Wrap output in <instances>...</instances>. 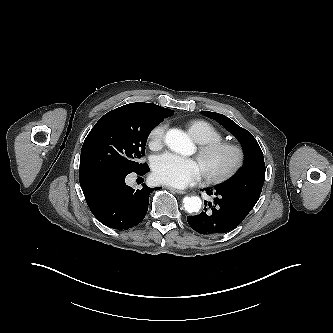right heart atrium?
<instances>
[{"mask_svg":"<svg viewBox=\"0 0 333 333\" xmlns=\"http://www.w3.org/2000/svg\"><path fill=\"white\" fill-rule=\"evenodd\" d=\"M166 126L161 123L152 128L148 136L149 147L153 150L160 148L164 141Z\"/></svg>","mask_w":333,"mask_h":333,"instance_id":"obj_1","label":"right heart atrium"}]
</instances>
